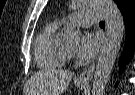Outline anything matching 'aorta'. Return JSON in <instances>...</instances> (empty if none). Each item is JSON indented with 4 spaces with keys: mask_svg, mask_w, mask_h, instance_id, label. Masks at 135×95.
<instances>
[{
    "mask_svg": "<svg viewBox=\"0 0 135 95\" xmlns=\"http://www.w3.org/2000/svg\"><path fill=\"white\" fill-rule=\"evenodd\" d=\"M91 6L99 9L105 18L107 35L102 47L93 79L92 95H104L109 75L114 66L124 35L122 14L113 0H76L74 8ZM64 37L69 41H78L80 33L70 28L65 31Z\"/></svg>",
    "mask_w": 135,
    "mask_h": 95,
    "instance_id": "aorta-1",
    "label": "aorta"
}]
</instances>
